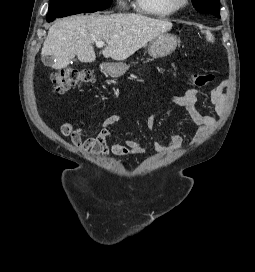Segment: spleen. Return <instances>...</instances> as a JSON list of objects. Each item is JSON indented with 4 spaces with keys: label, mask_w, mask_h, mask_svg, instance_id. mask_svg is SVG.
I'll return each mask as SVG.
<instances>
[{
    "label": "spleen",
    "mask_w": 255,
    "mask_h": 272,
    "mask_svg": "<svg viewBox=\"0 0 255 272\" xmlns=\"http://www.w3.org/2000/svg\"><path fill=\"white\" fill-rule=\"evenodd\" d=\"M204 33H205L206 39L208 41L214 42V36H213V34L209 30L204 31Z\"/></svg>",
    "instance_id": "1"
}]
</instances>
